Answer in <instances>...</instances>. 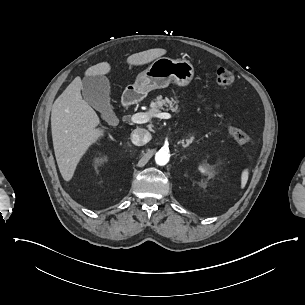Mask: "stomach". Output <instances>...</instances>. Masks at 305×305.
Wrapping results in <instances>:
<instances>
[{
  "instance_id": "1",
  "label": "stomach",
  "mask_w": 305,
  "mask_h": 305,
  "mask_svg": "<svg viewBox=\"0 0 305 305\" xmlns=\"http://www.w3.org/2000/svg\"><path fill=\"white\" fill-rule=\"evenodd\" d=\"M194 76V68L186 59L158 57L136 77L133 85L126 87L129 100H142L149 91L166 88L171 81L179 86L188 85Z\"/></svg>"
}]
</instances>
